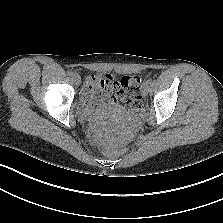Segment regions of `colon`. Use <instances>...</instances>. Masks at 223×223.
Segmentation results:
<instances>
[{
  "mask_svg": "<svg viewBox=\"0 0 223 223\" xmlns=\"http://www.w3.org/2000/svg\"><path fill=\"white\" fill-rule=\"evenodd\" d=\"M140 83L141 79L138 75L124 76L114 81L115 91L121 96V102L132 112L141 108Z\"/></svg>",
  "mask_w": 223,
  "mask_h": 223,
  "instance_id": "colon-1",
  "label": "colon"
}]
</instances>
